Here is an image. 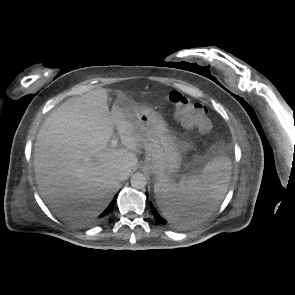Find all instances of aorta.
Listing matches in <instances>:
<instances>
[{"label":"aorta","instance_id":"762f6f07","mask_svg":"<svg viewBox=\"0 0 295 295\" xmlns=\"http://www.w3.org/2000/svg\"><path fill=\"white\" fill-rule=\"evenodd\" d=\"M131 186L135 189H143L147 184V178L142 173H135L131 177Z\"/></svg>","mask_w":295,"mask_h":295}]
</instances>
